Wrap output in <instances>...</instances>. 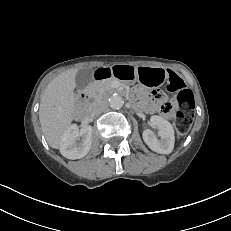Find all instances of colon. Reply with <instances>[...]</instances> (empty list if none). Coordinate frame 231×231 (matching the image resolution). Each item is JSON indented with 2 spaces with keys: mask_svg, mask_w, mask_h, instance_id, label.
I'll return each instance as SVG.
<instances>
[{
  "mask_svg": "<svg viewBox=\"0 0 231 231\" xmlns=\"http://www.w3.org/2000/svg\"><path fill=\"white\" fill-rule=\"evenodd\" d=\"M143 77L146 78L147 74L143 73ZM169 88L176 94V105L178 107L174 118V126L177 134L183 136L188 132L194 117V95L185 86L183 80L175 74H172L169 78ZM159 107L164 113L171 112L174 109L173 103L168 100L162 101Z\"/></svg>",
  "mask_w": 231,
  "mask_h": 231,
  "instance_id": "colon-1",
  "label": "colon"
}]
</instances>
